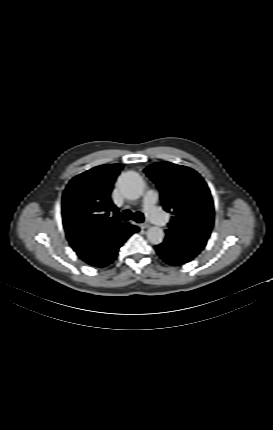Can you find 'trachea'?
I'll return each mask as SVG.
<instances>
[{
  "label": "trachea",
  "instance_id": "3493384b",
  "mask_svg": "<svg viewBox=\"0 0 273 430\" xmlns=\"http://www.w3.org/2000/svg\"><path fill=\"white\" fill-rule=\"evenodd\" d=\"M120 217L123 221H128L130 219H133L138 223H141L144 221L143 213L141 212L132 213L130 210H124L123 213L120 215Z\"/></svg>",
  "mask_w": 273,
  "mask_h": 430
}]
</instances>
